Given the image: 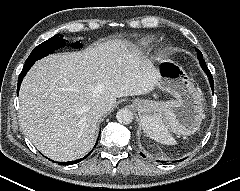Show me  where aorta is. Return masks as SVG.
I'll return each instance as SVG.
<instances>
[{
  "instance_id": "762f6f07",
  "label": "aorta",
  "mask_w": 240,
  "mask_h": 191,
  "mask_svg": "<svg viewBox=\"0 0 240 191\" xmlns=\"http://www.w3.org/2000/svg\"><path fill=\"white\" fill-rule=\"evenodd\" d=\"M117 121L121 124H130L133 120V113L127 108L118 110L116 114Z\"/></svg>"
}]
</instances>
